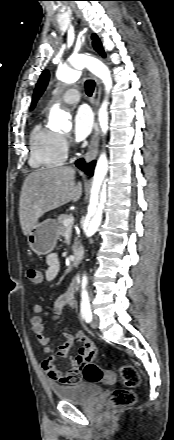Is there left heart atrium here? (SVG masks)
Here are the masks:
<instances>
[{
	"mask_svg": "<svg viewBox=\"0 0 174 440\" xmlns=\"http://www.w3.org/2000/svg\"><path fill=\"white\" fill-rule=\"evenodd\" d=\"M93 128V115L86 106L79 107L74 113L73 138L81 142L88 137Z\"/></svg>",
	"mask_w": 174,
	"mask_h": 440,
	"instance_id": "obj_1",
	"label": "left heart atrium"
}]
</instances>
